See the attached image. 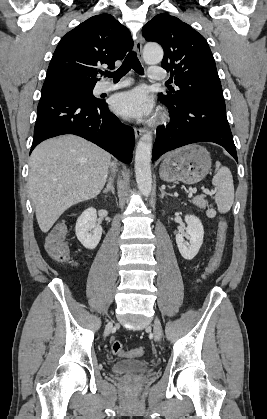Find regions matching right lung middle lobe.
Listing matches in <instances>:
<instances>
[{"label":"right lung middle lobe","mask_w":267,"mask_h":419,"mask_svg":"<svg viewBox=\"0 0 267 419\" xmlns=\"http://www.w3.org/2000/svg\"><path fill=\"white\" fill-rule=\"evenodd\" d=\"M93 88H94V86L85 87V86H78V85H66V86H63L62 88H60V90H63V91L69 92V93H73V94H77V95L82 96V97H84L85 99H87L88 101H91V102H97V101H99V99L95 98L92 95Z\"/></svg>","instance_id":"1"}]
</instances>
